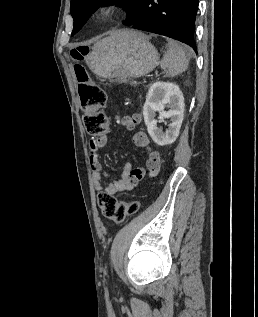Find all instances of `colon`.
Returning <instances> with one entry per match:
<instances>
[{
  "instance_id": "obj_1",
  "label": "colon",
  "mask_w": 258,
  "mask_h": 317,
  "mask_svg": "<svg viewBox=\"0 0 258 317\" xmlns=\"http://www.w3.org/2000/svg\"><path fill=\"white\" fill-rule=\"evenodd\" d=\"M86 54L85 48H77L71 51V57L75 62L78 91L83 113V122L87 132L94 137L105 136L108 133V122L104 114L106 94L104 90L93 83L84 67L80 64ZM98 206L102 214L116 222H123L139 209V202L121 201L113 195L101 192L98 195Z\"/></svg>"
}]
</instances>
